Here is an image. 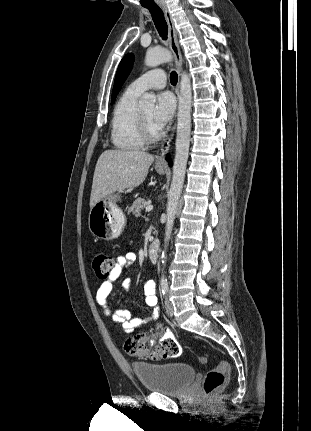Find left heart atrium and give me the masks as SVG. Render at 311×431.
I'll return each instance as SVG.
<instances>
[{
	"label": "left heart atrium",
	"instance_id": "left-heart-atrium-1",
	"mask_svg": "<svg viewBox=\"0 0 311 431\" xmlns=\"http://www.w3.org/2000/svg\"><path fill=\"white\" fill-rule=\"evenodd\" d=\"M176 99L170 92L159 94L157 104L153 113V123L159 133L164 126L171 121L176 111Z\"/></svg>",
	"mask_w": 311,
	"mask_h": 431
}]
</instances>
